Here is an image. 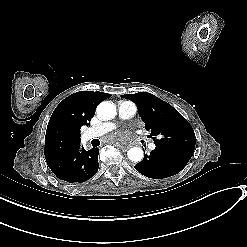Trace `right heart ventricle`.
I'll list each match as a JSON object with an SVG mask.
<instances>
[{
	"label": "right heart ventricle",
	"instance_id": "1",
	"mask_svg": "<svg viewBox=\"0 0 247 247\" xmlns=\"http://www.w3.org/2000/svg\"><path fill=\"white\" fill-rule=\"evenodd\" d=\"M120 102H124V103H127V104H129V105H131V106H134L135 107V104H133L132 102H130V101H120ZM119 102V103H120Z\"/></svg>",
	"mask_w": 247,
	"mask_h": 247
}]
</instances>
